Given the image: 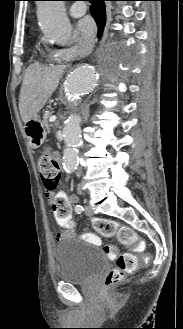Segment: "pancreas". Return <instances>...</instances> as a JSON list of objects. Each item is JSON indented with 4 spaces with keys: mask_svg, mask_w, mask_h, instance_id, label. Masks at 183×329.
<instances>
[{
    "mask_svg": "<svg viewBox=\"0 0 183 329\" xmlns=\"http://www.w3.org/2000/svg\"><path fill=\"white\" fill-rule=\"evenodd\" d=\"M50 118V114H46L43 118V124L46 127V129L49 131L50 130V125L48 123V119Z\"/></svg>",
    "mask_w": 183,
    "mask_h": 329,
    "instance_id": "cf45deb5",
    "label": "pancreas"
}]
</instances>
